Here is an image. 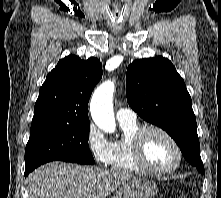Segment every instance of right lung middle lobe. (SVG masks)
Segmentation results:
<instances>
[{
  "mask_svg": "<svg viewBox=\"0 0 221 198\" xmlns=\"http://www.w3.org/2000/svg\"><path fill=\"white\" fill-rule=\"evenodd\" d=\"M90 124L43 122L31 125L25 150V171L54 160L94 164L89 150Z\"/></svg>",
  "mask_w": 221,
  "mask_h": 198,
  "instance_id": "1",
  "label": "right lung middle lobe"
}]
</instances>
